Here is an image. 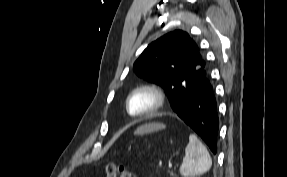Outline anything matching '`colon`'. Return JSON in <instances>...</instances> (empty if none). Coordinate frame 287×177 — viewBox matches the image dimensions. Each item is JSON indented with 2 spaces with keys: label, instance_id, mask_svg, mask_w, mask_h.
Returning <instances> with one entry per match:
<instances>
[{
  "label": "colon",
  "instance_id": "5ec220e1",
  "mask_svg": "<svg viewBox=\"0 0 287 177\" xmlns=\"http://www.w3.org/2000/svg\"><path fill=\"white\" fill-rule=\"evenodd\" d=\"M106 177H136L129 169L124 166L108 163L105 166Z\"/></svg>",
  "mask_w": 287,
  "mask_h": 177
}]
</instances>
